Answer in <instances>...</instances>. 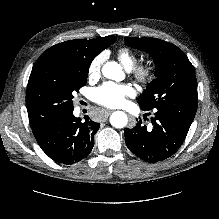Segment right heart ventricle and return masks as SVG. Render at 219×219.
I'll list each match as a JSON object with an SVG mask.
<instances>
[{
  "instance_id": "obj_1",
  "label": "right heart ventricle",
  "mask_w": 219,
  "mask_h": 219,
  "mask_svg": "<svg viewBox=\"0 0 219 219\" xmlns=\"http://www.w3.org/2000/svg\"><path fill=\"white\" fill-rule=\"evenodd\" d=\"M117 58L127 70H131L137 63L135 53L126 47H122L117 51Z\"/></svg>"
}]
</instances>
